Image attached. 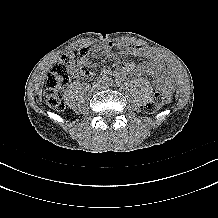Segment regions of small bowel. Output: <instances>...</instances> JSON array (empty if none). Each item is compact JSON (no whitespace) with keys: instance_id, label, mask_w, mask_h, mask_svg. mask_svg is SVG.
Masks as SVG:
<instances>
[{"instance_id":"c3829d8e","label":"small bowel","mask_w":218,"mask_h":218,"mask_svg":"<svg viewBox=\"0 0 218 218\" xmlns=\"http://www.w3.org/2000/svg\"><path fill=\"white\" fill-rule=\"evenodd\" d=\"M114 44L105 42L100 45H93L91 47L82 48L84 54L77 60L71 69V74L77 79H90L94 76V72L90 69H85L90 66V53L100 52L107 56L113 62V69L103 68L102 75H114L118 81H123L128 74L146 73L151 75L160 91L165 96V102H169L172 98L174 85L170 76L169 70L165 64L160 60L158 55L150 50L140 46H128L123 52V55L139 56L146 59V61L139 64L127 62L120 64L117 57L113 54Z\"/></svg>"}]
</instances>
